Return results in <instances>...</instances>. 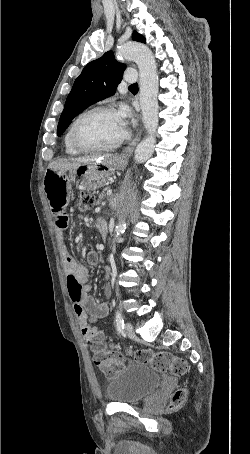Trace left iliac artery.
<instances>
[{
	"label": "left iliac artery",
	"mask_w": 250,
	"mask_h": 454,
	"mask_svg": "<svg viewBox=\"0 0 250 454\" xmlns=\"http://www.w3.org/2000/svg\"><path fill=\"white\" fill-rule=\"evenodd\" d=\"M116 329L119 334L123 333L124 330V320L119 311L116 312Z\"/></svg>",
	"instance_id": "1"
}]
</instances>
